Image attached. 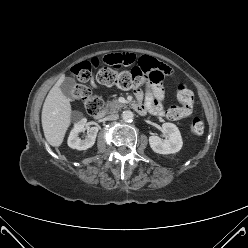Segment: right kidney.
Segmentation results:
<instances>
[{"label":"right kidney","instance_id":"right-kidney-1","mask_svg":"<svg viewBox=\"0 0 248 248\" xmlns=\"http://www.w3.org/2000/svg\"><path fill=\"white\" fill-rule=\"evenodd\" d=\"M76 123L74 128L70 131L68 137V146L77 150H86L91 148L96 140L98 133L97 127H91L87 130V138L81 140L79 133L85 130L86 119L82 118L81 115L75 117Z\"/></svg>","mask_w":248,"mask_h":248}]
</instances>
